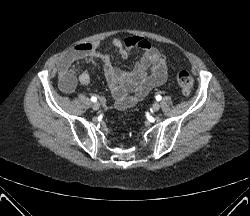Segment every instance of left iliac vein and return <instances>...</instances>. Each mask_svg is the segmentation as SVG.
<instances>
[{
  "mask_svg": "<svg viewBox=\"0 0 250 216\" xmlns=\"http://www.w3.org/2000/svg\"><path fill=\"white\" fill-rule=\"evenodd\" d=\"M159 109H160V104L157 103V102H155V103L152 105V111L157 112Z\"/></svg>",
  "mask_w": 250,
  "mask_h": 216,
  "instance_id": "obj_1",
  "label": "left iliac vein"
}]
</instances>
